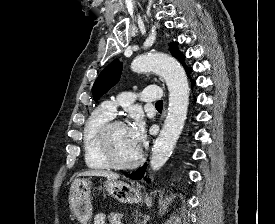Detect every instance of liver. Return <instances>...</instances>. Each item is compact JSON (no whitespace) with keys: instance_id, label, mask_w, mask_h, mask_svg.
<instances>
[{"instance_id":"obj_1","label":"liver","mask_w":275,"mask_h":224,"mask_svg":"<svg viewBox=\"0 0 275 224\" xmlns=\"http://www.w3.org/2000/svg\"><path fill=\"white\" fill-rule=\"evenodd\" d=\"M79 176H98V177H106L108 180H117L119 178V174L104 171V170H89L79 174Z\"/></svg>"}]
</instances>
